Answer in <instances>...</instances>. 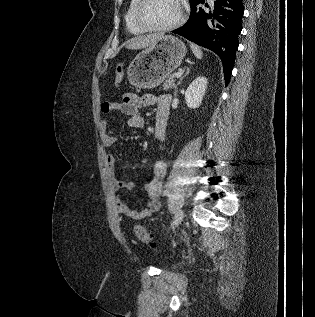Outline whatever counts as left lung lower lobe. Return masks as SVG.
<instances>
[{"label": "left lung lower lobe", "mask_w": 315, "mask_h": 317, "mask_svg": "<svg viewBox=\"0 0 315 317\" xmlns=\"http://www.w3.org/2000/svg\"><path fill=\"white\" fill-rule=\"evenodd\" d=\"M204 0H193L189 20L173 33L215 52L221 59L226 86L229 83L242 30V0H215L204 11L197 7Z\"/></svg>", "instance_id": "0a47b994"}]
</instances>
